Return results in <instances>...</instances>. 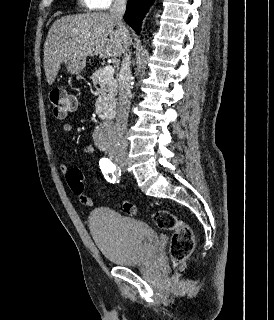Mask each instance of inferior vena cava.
Masks as SVG:
<instances>
[{"mask_svg": "<svg viewBox=\"0 0 274 320\" xmlns=\"http://www.w3.org/2000/svg\"><path fill=\"white\" fill-rule=\"evenodd\" d=\"M126 10V0H113V4L109 10L111 18H114L116 24V32L124 42V58L122 60L120 72L118 74V106H117V122L120 128H126L130 110L131 96V70H130V50L131 44L130 32L123 24V16ZM127 144H123L125 150Z\"/></svg>", "mask_w": 274, "mask_h": 320, "instance_id": "1", "label": "inferior vena cava"}]
</instances>
